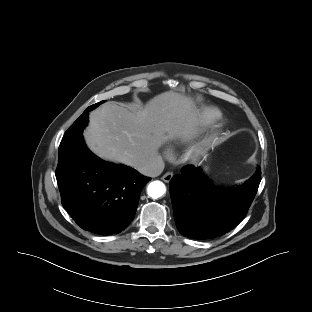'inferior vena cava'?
<instances>
[{"mask_svg": "<svg viewBox=\"0 0 312 312\" xmlns=\"http://www.w3.org/2000/svg\"><path fill=\"white\" fill-rule=\"evenodd\" d=\"M164 166L161 156L157 155L153 158L141 161L136 166V169L145 176L156 177L161 174Z\"/></svg>", "mask_w": 312, "mask_h": 312, "instance_id": "602c4592", "label": "inferior vena cava"}]
</instances>
